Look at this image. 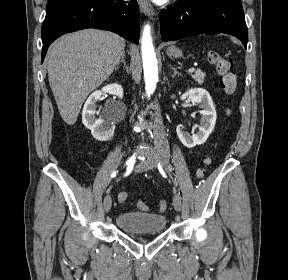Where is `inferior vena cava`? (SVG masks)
Instances as JSON below:
<instances>
[{"instance_id": "obj_1", "label": "inferior vena cava", "mask_w": 288, "mask_h": 280, "mask_svg": "<svg viewBox=\"0 0 288 280\" xmlns=\"http://www.w3.org/2000/svg\"><path fill=\"white\" fill-rule=\"evenodd\" d=\"M155 113L152 114L151 121V137L154 139V143H157L159 150L155 153L158 159H167L169 156L168 150L170 142H167V134L165 132V125H163V119L160 113L161 105H153Z\"/></svg>"}]
</instances>
